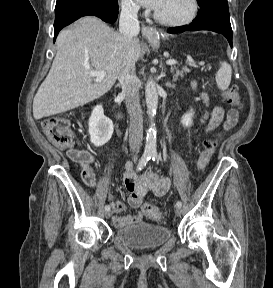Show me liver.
Segmentation results:
<instances>
[{
  "mask_svg": "<svg viewBox=\"0 0 273 288\" xmlns=\"http://www.w3.org/2000/svg\"><path fill=\"white\" fill-rule=\"evenodd\" d=\"M57 54L46 79L33 100L36 120L83 106L107 93L115 84L127 53L126 38L96 17L81 18L62 30L56 40ZM141 53L134 40L133 59ZM91 71H105L93 83Z\"/></svg>",
  "mask_w": 273,
  "mask_h": 288,
  "instance_id": "liver-1",
  "label": "liver"
}]
</instances>
